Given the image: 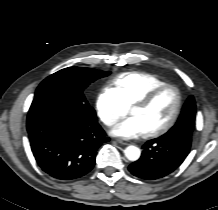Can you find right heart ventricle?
I'll return each mask as SVG.
<instances>
[{
	"instance_id": "e07e8e85",
	"label": "right heart ventricle",
	"mask_w": 218,
	"mask_h": 210,
	"mask_svg": "<svg viewBox=\"0 0 218 210\" xmlns=\"http://www.w3.org/2000/svg\"><path fill=\"white\" fill-rule=\"evenodd\" d=\"M165 84L159 77L145 72H126L117 75L111 82L123 102L130 107L149 91Z\"/></svg>"
}]
</instances>
